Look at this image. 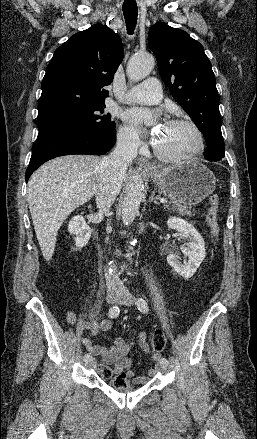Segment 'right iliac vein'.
Returning <instances> with one entry per match:
<instances>
[{"instance_id":"1","label":"right iliac vein","mask_w":257,"mask_h":439,"mask_svg":"<svg viewBox=\"0 0 257 439\" xmlns=\"http://www.w3.org/2000/svg\"><path fill=\"white\" fill-rule=\"evenodd\" d=\"M119 297H120V293H118V292H114V291H109V292H107V295H106V301H107L108 303L112 304V303H115V302L118 300ZM85 365H86L87 367L94 366V361H93V359H90V360H88V361H85Z\"/></svg>"}]
</instances>
